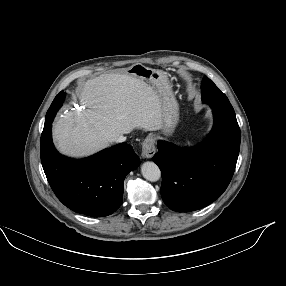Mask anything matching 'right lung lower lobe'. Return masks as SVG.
<instances>
[{
  "label": "right lung lower lobe",
  "instance_id": "right-lung-lower-lobe-1",
  "mask_svg": "<svg viewBox=\"0 0 286 286\" xmlns=\"http://www.w3.org/2000/svg\"><path fill=\"white\" fill-rule=\"evenodd\" d=\"M52 121L45 122L41 162L58 199L71 210L91 217L115 212L123 202V182L140 159L131 145L120 143L80 160L61 156L52 142Z\"/></svg>",
  "mask_w": 286,
  "mask_h": 286
}]
</instances>
